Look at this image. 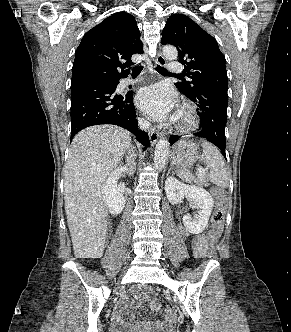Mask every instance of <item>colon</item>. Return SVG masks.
Instances as JSON below:
<instances>
[{"label":"colon","instance_id":"obj_1","mask_svg":"<svg viewBox=\"0 0 291 332\" xmlns=\"http://www.w3.org/2000/svg\"><path fill=\"white\" fill-rule=\"evenodd\" d=\"M214 193L218 202L213 216V225L208 233V255L211 258L215 257L216 255L217 241L222 231L226 210V199L223 193L219 190H215Z\"/></svg>","mask_w":291,"mask_h":332}]
</instances>
